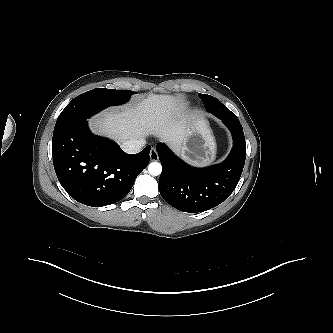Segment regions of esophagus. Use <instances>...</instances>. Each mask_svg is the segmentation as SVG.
I'll return each mask as SVG.
<instances>
[{"mask_svg":"<svg viewBox=\"0 0 333 333\" xmlns=\"http://www.w3.org/2000/svg\"><path fill=\"white\" fill-rule=\"evenodd\" d=\"M149 156L151 161H157L159 159L158 152L154 148L150 150Z\"/></svg>","mask_w":333,"mask_h":333,"instance_id":"34e87169","label":"esophagus"}]
</instances>
